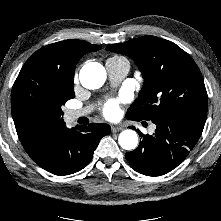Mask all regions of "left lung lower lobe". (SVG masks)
I'll return each mask as SVG.
<instances>
[{
	"label": "left lung lower lobe",
	"instance_id": "obj_1",
	"mask_svg": "<svg viewBox=\"0 0 221 221\" xmlns=\"http://www.w3.org/2000/svg\"><path fill=\"white\" fill-rule=\"evenodd\" d=\"M153 123L157 126L153 135H143L137 130L142 141L134 151L126 153V159L136 172L160 176L183 162L200 138L205 122L183 117Z\"/></svg>",
	"mask_w": 221,
	"mask_h": 221
}]
</instances>
